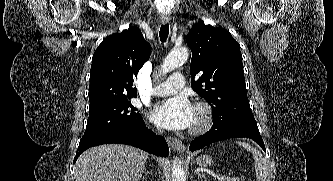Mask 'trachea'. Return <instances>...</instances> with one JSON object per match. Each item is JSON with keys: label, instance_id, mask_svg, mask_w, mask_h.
<instances>
[{"label": "trachea", "instance_id": "trachea-1", "mask_svg": "<svg viewBox=\"0 0 333 181\" xmlns=\"http://www.w3.org/2000/svg\"><path fill=\"white\" fill-rule=\"evenodd\" d=\"M168 34H169V25L167 23L165 25H162L160 28L159 36L162 43L166 42Z\"/></svg>", "mask_w": 333, "mask_h": 181}]
</instances>
